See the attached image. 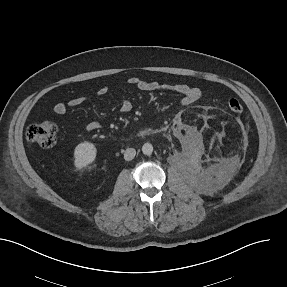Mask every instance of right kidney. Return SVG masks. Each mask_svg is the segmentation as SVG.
I'll list each match as a JSON object with an SVG mask.
<instances>
[{"label":"right kidney","instance_id":"right-kidney-1","mask_svg":"<svg viewBox=\"0 0 287 287\" xmlns=\"http://www.w3.org/2000/svg\"><path fill=\"white\" fill-rule=\"evenodd\" d=\"M97 150L93 143H79L74 149V165L77 169H82L90 165L96 158Z\"/></svg>","mask_w":287,"mask_h":287}]
</instances>
